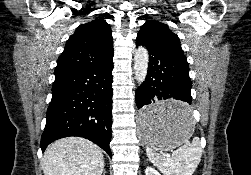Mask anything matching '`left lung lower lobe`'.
Returning a JSON list of instances; mask_svg holds the SVG:
<instances>
[{"label":"left lung lower lobe","mask_w":251,"mask_h":175,"mask_svg":"<svg viewBox=\"0 0 251 175\" xmlns=\"http://www.w3.org/2000/svg\"><path fill=\"white\" fill-rule=\"evenodd\" d=\"M139 45L145 46L149 52L147 76L136 91L139 122L154 126L189 120L193 115L190 106L192 82L186 57L143 36H137L136 46ZM169 98L185 103L155 104L158 100Z\"/></svg>","instance_id":"0a47b994"}]
</instances>
